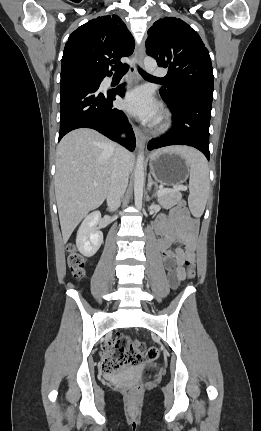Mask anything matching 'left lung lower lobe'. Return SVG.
I'll use <instances>...</instances> for the list:
<instances>
[{
	"label": "left lung lower lobe",
	"mask_w": 261,
	"mask_h": 431,
	"mask_svg": "<svg viewBox=\"0 0 261 431\" xmlns=\"http://www.w3.org/2000/svg\"><path fill=\"white\" fill-rule=\"evenodd\" d=\"M161 96L172 112V128L161 138L149 141L148 150L170 145H188L200 150L209 160V124L213 96L187 93L173 101L162 94Z\"/></svg>",
	"instance_id": "obj_1"
}]
</instances>
